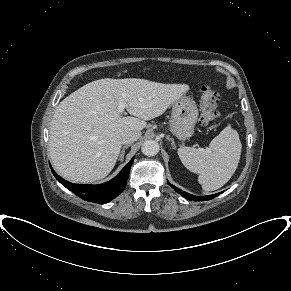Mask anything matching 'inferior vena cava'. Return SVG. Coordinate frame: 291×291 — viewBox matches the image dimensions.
<instances>
[{
	"label": "inferior vena cava",
	"mask_w": 291,
	"mask_h": 291,
	"mask_svg": "<svg viewBox=\"0 0 291 291\" xmlns=\"http://www.w3.org/2000/svg\"><path fill=\"white\" fill-rule=\"evenodd\" d=\"M141 136L140 131H126L121 135L122 144H131L137 141Z\"/></svg>",
	"instance_id": "inferior-vena-cava-1"
}]
</instances>
